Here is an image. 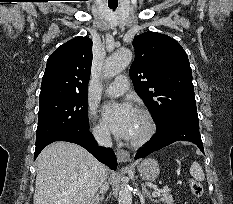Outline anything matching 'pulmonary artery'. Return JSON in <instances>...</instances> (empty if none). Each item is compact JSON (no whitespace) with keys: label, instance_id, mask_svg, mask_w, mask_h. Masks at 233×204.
Instances as JSON below:
<instances>
[{"label":"pulmonary artery","instance_id":"obj_1","mask_svg":"<svg viewBox=\"0 0 233 204\" xmlns=\"http://www.w3.org/2000/svg\"><path fill=\"white\" fill-rule=\"evenodd\" d=\"M129 88V81L126 76H118L105 89V93L109 96H120Z\"/></svg>","mask_w":233,"mask_h":204}]
</instances>
